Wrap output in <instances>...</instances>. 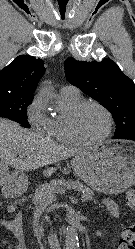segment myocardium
Segmentation results:
<instances>
[{"instance_id": "f54148a6", "label": "myocardium", "mask_w": 135, "mask_h": 249, "mask_svg": "<svg viewBox=\"0 0 135 249\" xmlns=\"http://www.w3.org/2000/svg\"><path fill=\"white\" fill-rule=\"evenodd\" d=\"M89 106H94V107H97L98 109H100L104 113V115L107 119V129H106L105 133L96 139H85L79 134V132L76 129L77 117L83 111V109H85L86 107H89ZM112 128H113V117H112L111 112L108 110L107 107H105L103 104H101L97 101H92V100L82 101L79 104H77L68 113V116H67V129H68V132H69L71 138L73 139V141L76 144H80V145L100 144L101 142H103L104 140H106L110 136Z\"/></svg>"}]
</instances>
